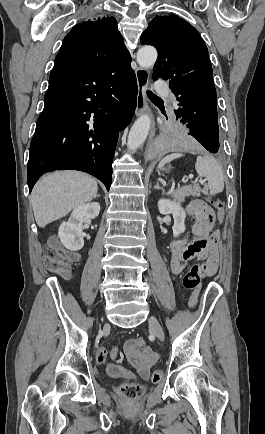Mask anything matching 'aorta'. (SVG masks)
I'll return each instance as SVG.
<instances>
[{"label": "aorta", "mask_w": 265, "mask_h": 434, "mask_svg": "<svg viewBox=\"0 0 265 434\" xmlns=\"http://www.w3.org/2000/svg\"><path fill=\"white\" fill-rule=\"evenodd\" d=\"M136 60L140 68H151L157 60V50L152 48V46H143V48L138 50ZM150 126L151 120L149 116H140V118L134 122L127 140L129 150H137V148H140V146L144 144Z\"/></svg>", "instance_id": "obj_1"}]
</instances>
